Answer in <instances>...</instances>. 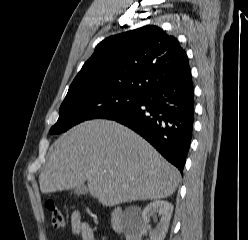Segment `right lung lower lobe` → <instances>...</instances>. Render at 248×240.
Segmentation results:
<instances>
[{
    "label": "right lung lower lobe",
    "instance_id": "obj_1",
    "mask_svg": "<svg viewBox=\"0 0 248 240\" xmlns=\"http://www.w3.org/2000/svg\"><path fill=\"white\" fill-rule=\"evenodd\" d=\"M106 119L115 120L140 134L182 172L194 121L191 72L150 90L137 104Z\"/></svg>",
    "mask_w": 248,
    "mask_h": 240
}]
</instances>
